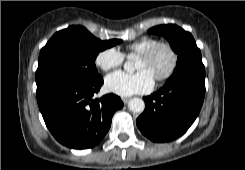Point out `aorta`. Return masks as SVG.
Masks as SVG:
<instances>
[{
  "label": "aorta",
  "instance_id": "1",
  "mask_svg": "<svg viewBox=\"0 0 245 170\" xmlns=\"http://www.w3.org/2000/svg\"><path fill=\"white\" fill-rule=\"evenodd\" d=\"M124 69L129 73L134 72L135 68H134L132 57H129L128 60L125 62ZM128 107L132 112L141 113L145 109V103L142 99L136 97V98H132L129 101Z\"/></svg>",
  "mask_w": 245,
  "mask_h": 170
}]
</instances>
